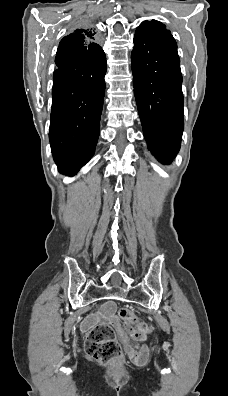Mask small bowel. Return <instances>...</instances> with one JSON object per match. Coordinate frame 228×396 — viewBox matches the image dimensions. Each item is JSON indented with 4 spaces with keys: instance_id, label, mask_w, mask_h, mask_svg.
<instances>
[{
    "instance_id": "c3829d8e",
    "label": "small bowel",
    "mask_w": 228,
    "mask_h": 396,
    "mask_svg": "<svg viewBox=\"0 0 228 396\" xmlns=\"http://www.w3.org/2000/svg\"><path fill=\"white\" fill-rule=\"evenodd\" d=\"M113 311H114V305L112 303H108L103 309L102 315L105 319L109 320V322L118 332L124 344L127 355L132 360V362L135 363L136 365L144 364L147 361V357H148V349L145 342V338H146L145 333H141L139 331L135 332L133 336L137 340V344L133 345L130 342L126 329L121 325L120 320L118 319L117 316L114 315Z\"/></svg>"
}]
</instances>
